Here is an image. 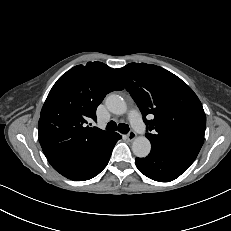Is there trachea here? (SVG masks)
Here are the masks:
<instances>
[{
    "label": "trachea",
    "mask_w": 231,
    "mask_h": 231,
    "mask_svg": "<svg viewBox=\"0 0 231 231\" xmlns=\"http://www.w3.org/2000/svg\"><path fill=\"white\" fill-rule=\"evenodd\" d=\"M106 129L108 131H116V130H118L122 134H127L129 132V126L127 124L121 123V124H119L117 126V124L114 121H110L107 124Z\"/></svg>",
    "instance_id": "obj_1"
}]
</instances>
